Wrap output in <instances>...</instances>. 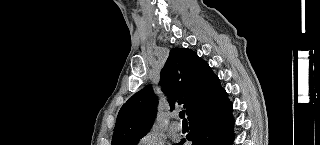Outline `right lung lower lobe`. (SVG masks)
Listing matches in <instances>:
<instances>
[{
	"label": "right lung lower lobe",
	"mask_w": 320,
	"mask_h": 145,
	"mask_svg": "<svg viewBox=\"0 0 320 145\" xmlns=\"http://www.w3.org/2000/svg\"><path fill=\"white\" fill-rule=\"evenodd\" d=\"M231 113L232 104L216 77L204 106L188 117L190 132L187 140L192 141V145H231L234 139ZM184 143L185 139L177 145Z\"/></svg>",
	"instance_id": "98d812e1"
}]
</instances>
